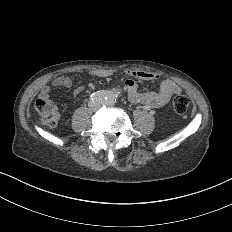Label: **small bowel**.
I'll return each instance as SVG.
<instances>
[{
	"label": "small bowel",
	"mask_w": 232,
	"mask_h": 232,
	"mask_svg": "<svg viewBox=\"0 0 232 232\" xmlns=\"http://www.w3.org/2000/svg\"><path fill=\"white\" fill-rule=\"evenodd\" d=\"M112 74L109 69H96L92 72V76L87 80L90 86L100 85L103 80ZM121 74L126 77L124 80L125 87L128 89V99L132 103H146L152 107H161L167 104L171 96L179 94L181 87L173 79H164L160 84V91L141 92L138 89L136 80H154L158 77L157 73L151 69H134L122 70ZM73 82L69 78L60 77L52 81L51 86H46L42 89L44 94H51L54 89L71 88ZM82 89L80 87L73 91V102H77L80 98Z\"/></svg>",
	"instance_id": "obj_1"
}]
</instances>
